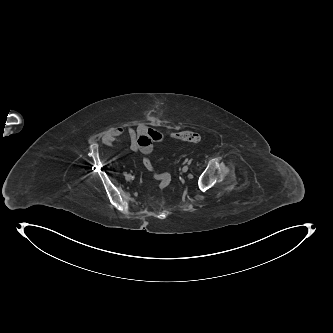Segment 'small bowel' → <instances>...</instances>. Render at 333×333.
I'll list each match as a JSON object with an SVG mask.
<instances>
[{
    "label": "small bowel",
    "instance_id": "1",
    "mask_svg": "<svg viewBox=\"0 0 333 333\" xmlns=\"http://www.w3.org/2000/svg\"><path fill=\"white\" fill-rule=\"evenodd\" d=\"M127 135L130 140V149L133 152H140L148 156L154 150L155 142H163L164 134L146 124L128 127H112L102 136V143L108 147H113L119 138Z\"/></svg>",
    "mask_w": 333,
    "mask_h": 333
}]
</instances>
